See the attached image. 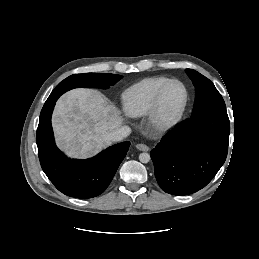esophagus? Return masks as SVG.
<instances>
[{"label":"esophagus","instance_id":"34e87169","mask_svg":"<svg viewBox=\"0 0 259 259\" xmlns=\"http://www.w3.org/2000/svg\"><path fill=\"white\" fill-rule=\"evenodd\" d=\"M136 148L140 151H144V152H147L149 151V147L145 144H137L136 145Z\"/></svg>","mask_w":259,"mask_h":259}]
</instances>
